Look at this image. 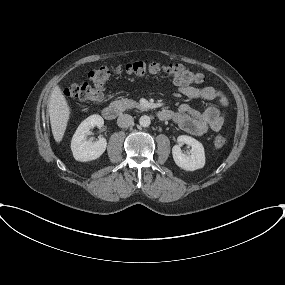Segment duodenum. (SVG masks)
<instances>
[{
	"label": "duodenum",
	"mask_w": 285,
	"mask_h": 285,
	"mask_svg": "<svg viewBox=\"0 0 285 285\" xmlns=\"http://www.w3.org/2000/svg\"><path fill=\"white\" fill-rule=\"evenodd\" d=\"M120 114H121V107L116 103H111L107 105L102 111L103 117L107 120H114ZM169 115H170L169 111L166 109H163L158 113V117L161 120H167L169 118Z\"/></svg>",
	"instance_id": "obj_1"
}]
</instances>
